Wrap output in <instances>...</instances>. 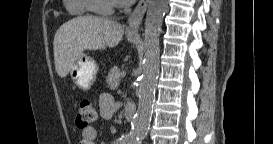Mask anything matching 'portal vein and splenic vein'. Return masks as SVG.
<instances>
[{"label": "portal vein and splenic vein", "mask_w": 273, "mask_h": 144, "mask_svg": "<svg viewBox=\"0 0 273 144\" xmlns=\"http://www.w3.org/2000/svg\"><path fill=\"white\" fill-rule=\"evenodd\" d=\"M126 76V73L125 72H122L121 73V77H125Z\"/></svg>", "instance_id": "obj_1"}]
</instances>
